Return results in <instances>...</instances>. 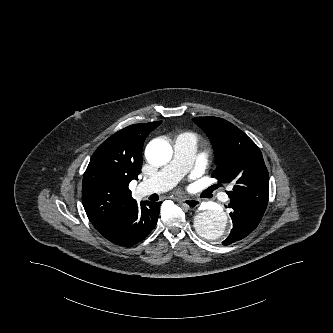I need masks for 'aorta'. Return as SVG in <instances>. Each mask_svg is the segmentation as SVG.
<instances>
[{
	"label": "aorta",
	"mask_w": 333,
	"mask_h": 333,
	"mask_svg": "<svg viewBox=\"0 0 333 333\" xmlns=\"http://www.w3.org/2000/svg\"><path fill=\"white\" fill-rule=\"evenodd\" d=\"M146 158L154 166L168 163L172 158L171 145L161 139L151 141L146 147ZM197 232L211 241L224 239L230 230L229 218L222 207L214 203H204L195 216Z\"/></svg>",
	"instance_id": "762f6f07"
}]
</instances>
